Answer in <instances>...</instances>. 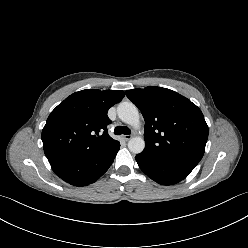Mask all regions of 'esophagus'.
<instances>
[{"mask_svg": "<svg viewBox=\"0 0 248 248\" xmlns=\"http://www.w3.org/2000/svg\"><path fill=\"white\" fill-rule=\"evenodd\" d=\"M125 141H129L131 138H132V135H124L123 137H122Z\"/></svg>", "mask_w": 248, "mask_h": 248, "instance_id": "1", "label": "esophagus"}]
</instances>
